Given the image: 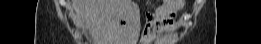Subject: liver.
I'll list each match as a JSON object with an SVG mask.
<instances>
[{"mask_svg": "<svg viewBox=\"0 0 261 44\" xmlns=\"http://www.w3.org/2000/svg\"><path fill=\"white\" fill-rule=\"evenodd\" d=\"M94 44H133L142 30L132 0H73ZM137 24V25H116ZM117 42V43H115Z\"/></svg>", "mask_w": 261, "mask_h": 44, "instance_id": "1", "label": "liver"}]
</instances>
